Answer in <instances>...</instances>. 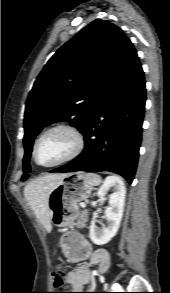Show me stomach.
<instances>
[{
    "label": "stomach",
    "instance_id": "stomach-1",
    "mask_svg": "<svg viewBox=\"0 0 170 293\" xmlns=\"http://www.w3.org/2000/svg\"><path fill=\"white\" fill-rule=\"evenodd\" d=\"M92 185L82 172L67 174L53 188L49 196L51 222L58 227L71 225L79 216L78 203L91 195Z\"/></svg>",
    "mask_w": 170,
    "mask_h": 293
}]
</instances>
